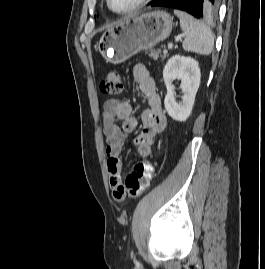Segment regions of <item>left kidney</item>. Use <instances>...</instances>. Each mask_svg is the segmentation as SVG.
I'll return each mask as SVG.
<instances>
[{
  "label": "left kidney",
  "instance_id": "5707ae66",
  "mask_svg": "<svg viewBox=\"0 0 265 269\" xmlns=\"http://www.w3.org/2000/svg\"><path fill=\"white\" fill-rule=\"evenodd\" d=\"M200 77V68L195 59L175 55L168 60L163 70V78L167 88L164 105L168 115L173 120L182 122L190 116L200 85ZM175 79L181 80L180 88L183 96L179 103L176 101L173 85Z\"/></svg>",
  "mask_w": 265,
  "mask_h": 269
}]
</instances>
